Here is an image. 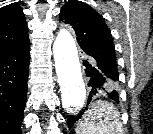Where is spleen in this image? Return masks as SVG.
<instances>
[{"label":"spleen","instance_id":"3e777b00","mask_svg":"<svg viewBox=\"0 0 153 134\" xmlns=\"http://www.w3.org/2000/svg\"><path fill=\"white\" fill-rule=\"evenodd\" d=\"M76 134H123L120 113L113 104L94 102L78 122Z\"/></svg>","mask_w":153,"mask_h":134}]
</instances>
